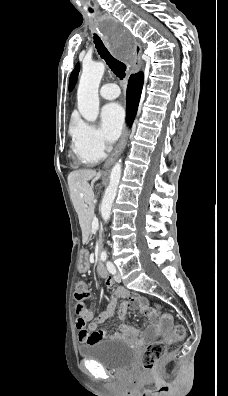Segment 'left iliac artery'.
<instances>
[{
  "label": "left iliac artery",
  "mask_w": 228,
  "mask_h": 396,
  "mask_svg": "<svg viewBox=\"0 0 228 396\" xmlns=\"http://www.w3.org/2000/svg\"><path fill=\"white\" fill-rule=\"evenodd\" d=\"M106 266H107L108 271L111 274H114L116 272V269H115L114 265L111 262H107Z\"/></svg>",
  "instance_id": "left-iliac-artery-1"
}]
</instances>
